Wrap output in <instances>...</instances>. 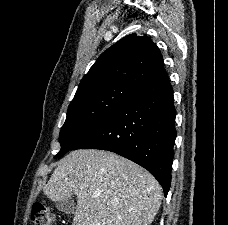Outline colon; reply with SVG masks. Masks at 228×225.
<instances>
[{
	"label": "colon",
	"instance_id": "obj_1",
	"mask_svg": "<svg viewBox=\"0 0 228 225\" xmlns=\"http://www.w3.org/2000/svg\"><path fill=\"white\" fill-rule=\"evenodd\" d=\"M31 221L33 225H55V215L53 211L42 202H35L31 211Z\"/></svg>",
	"mask_w": 228,
	"mask_h": 225
}]
</instances>
